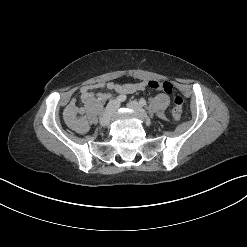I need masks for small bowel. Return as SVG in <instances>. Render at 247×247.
<instances>
[{
  "instance_id": "small-bowel-1",
  "label": "small bowel",
  "mask_w": 247,
  "mask_h": 247,
  "mask_svg": "<svg viewBox=\"0 0 247 247\" xmlns=\"http://www.w3.org/2000/svg\"><path fill=\"white\" fill-rule=\"evenodd\" d=\"M147 86L148 83L145 81L124 85L115 84L113 82H101L82 87L79 90V94L81 101L87 103L95 96H98L101 99L107 98L106 94L96 92V90L100 88H106L111 91L126 94L144 90ZM64 119L69 128L77 131L80 134L86 133L90 128L87 117L85 116V109L77 105L75 98L72 99L66 106L64 111Z\"/></svg>"
}]
</instances>
